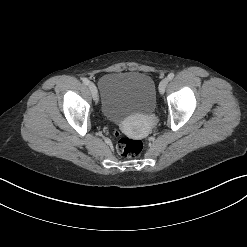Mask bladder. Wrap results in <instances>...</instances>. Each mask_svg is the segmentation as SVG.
<instances>
[{
  "mask_svg": "<svg viewBox=\"0 0 247 247\" xmlns=\"http://www.w3.org/2000/svg\"><path fill=\"white\" fill-rule=\"evenodd\" d=\"M104 117L120 125L134 114H150L156 105L155 84L143 73H111L99 80Z\"/></svg>",
  "mask_w": 247,
  "mask_h": 247,
  "instance_id": "bladder-1",
  "label": "bladder"
}]
</instances>
